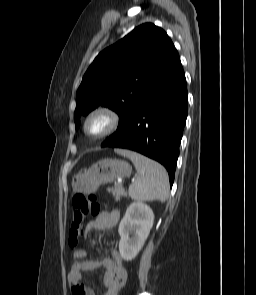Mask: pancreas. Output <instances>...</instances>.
<instances>
[{"label":"pancreas","instance_id":"1","mask_svg":"<svg viewBox=\"0 0 256 295\" xmlns=\"http://www.w3.org/2000/svg\"><path fill=\"white\" fill-rule=\"evenodd\" d=\"M108 191L113 194L116 201H119L120 198L127 196V192L121 184H117L114 188H111Z\"/></svg>","mask_w":256,"mask_h":295}]
</instances>
